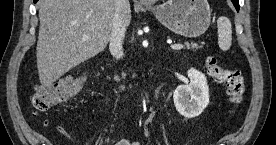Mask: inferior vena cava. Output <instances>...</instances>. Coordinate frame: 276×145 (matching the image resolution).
<instances>
[{"label":"inferior vena cava","mask_w":276,"mask_h":145,"mask_svg":"<svg viewBox=\"0 0 276 145\" xmlns=\"http://www.w3.org/2000/svg\"><path fill=\"white\" fill-rule=\"evenodd\" d=\"M115 14L112 23L109 49L113 57L120 59L123 57V39L126 33L124 22V9L129 6V0H114Z\"/></svg>","instance_id":"602c4592"}]
</instances>
